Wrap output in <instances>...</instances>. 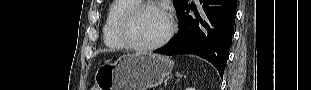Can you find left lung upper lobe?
<instances>
[{
  "instance_id": "obj_1",
  "label": "left lung upper lobe",
  "mask_w": 311,
  "mask_h": 90,
  "mask_svg": "<svg viewBox=\"0 0 311 90\" xmlns=\"http://www.w3.org/2000/svg\"><path fill=\"white\" fill-rule=\"evenodd\" d=\"M174 7L177 15L183 10V8L187 5L188 0H173Z\"/></svg>"
}]
</instances>
